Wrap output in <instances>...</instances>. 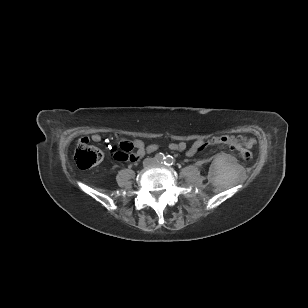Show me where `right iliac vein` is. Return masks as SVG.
Instances as JSON below:
<instances>
[{
	"instance_id": "1",
	"label": "right iliac vein",
	"mask_w": 308,
	"mask_h": 308,
	"mask_svg": "<svg viewBox=\"0 0 308 308\" xmlns=\"http://www.w3.org/2000/svg\"><path fill=\"white\" fill-rule=\"evenodd\" d=\"M151 164H153V160L152 159H147L144 161L143 165L146 166H150Z\"/></svg>"
}]
</instances>
